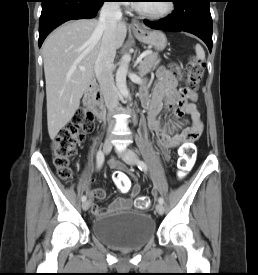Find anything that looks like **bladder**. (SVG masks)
<instances>
[{"label":"bladder","instance_id":"obj_1","mask_svg":"<svg viewBox=\"0 0 258 275\" xmlns=\"http://www.w3.org/2000/svg\"><path fill=\"white\" fill-rule=\"evenodd\" d=\"M92 232L94 236L112 247L137 249L154 238L156 225L149 214L127 209L96 218L92 222Z\"/></svg>","mask_w":258,"mask_h":275}]
</instances>
